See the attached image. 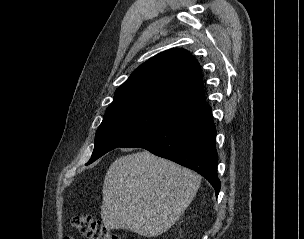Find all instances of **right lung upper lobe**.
I'll list each match as a JSON object with an SVG mask.
<instances>
[{
    "label": "right lung upper lobe",
    "mask_w": 304,
    "mask_h": 239,
    "mask_svg": "<svg viewBox=\"0 0 304 239\" xmlns=\"http://www.w3.org/2000/svg\"><path fill=\"white\" fill-rule=\"evenodd\" d=\"M205 103L199 63L187 50L173 48L140 65L117 88L106 113L145 110L170 120Z\"/></svg>",
    "instance_id": "1"
}]
</instances>
